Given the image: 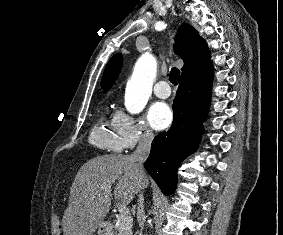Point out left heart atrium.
<instances>
[{
	"instance_id": "left-heart-atrium-1",
	"label": "left heart atrium",
	"mask_w": 283,
	"mask_h": 235,
	"mask_svg": "<svg viewBox=\"0 0 283 235\" xmlns=\"http://www.w3.org/2000/svg\"><path fill=\"white\" fill-rule=\"evenodd\" d=\"M147 119L154 129L162 130L171 124L172 112L166 103L156 102L148 109Z\"/></svg>"
}]
</instances>
